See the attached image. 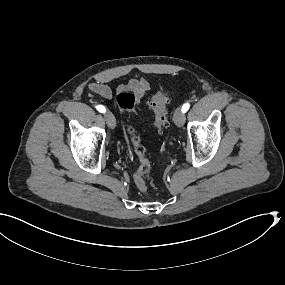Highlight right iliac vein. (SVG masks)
Segmentation results:
<instances>
[{
  "instance_id": "obj_1",
  "label": "right iliac vein",
  "mask_w": 285,
  "mask_h": 285,
  "mask_svg": "<svg viewBox=\"0 0 285 285\" xmlns=\"http://www.w3.org/2000/svg\"><path fill=\"white\" fill-rule=\"evenodd\" d=\"M104 117L109 128L114 129L116 127V119L114 115L111 112H106Z\"/></svg>"
}]
</instances>
